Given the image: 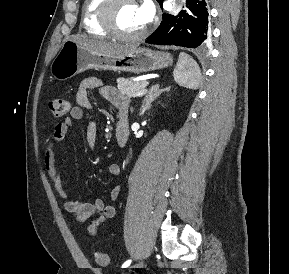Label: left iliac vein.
I'll return each mask as SVG.
<instances>
[{
    "instance_id": "left-iliac-vein-1",
    "label": "left iliac vein",
    "mask_w": 289,
    "mask_h": 274,
    "mask_svg": "<svg viewBox=\"0 0 289 274\" xmlns=\"http://www.w3.org/2000/svg\"><path fill=\"white\" fill-rule=\"evenodd\" d=\"M143 265H144L143 262H139V263L135 264L133 267H142Z\"/></svg>"
}]
</instances>
